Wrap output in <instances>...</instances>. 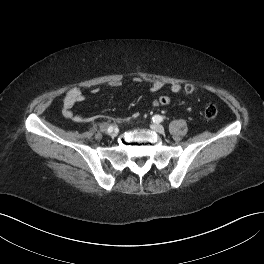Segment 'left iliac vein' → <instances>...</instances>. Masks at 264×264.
<instances>
[{
  "instance_id": "4c4485c4",
  "label": "left iliac vein",
  "mask_w": 264,
  "mask_h": 264,
  "mask_svg": "<svg viewBox=\"0 0 264 264\" xmlns=\"http://www.w3.org/2000/svg\"><path fill=\"white\" fill-rule=\"evenodd\" d=\"M151 128L158 133H164V127L160 124H152Z\"/></svg>"
}]
</instances>
